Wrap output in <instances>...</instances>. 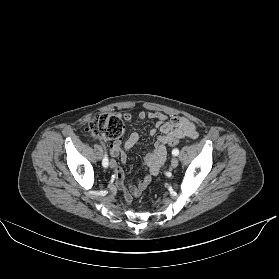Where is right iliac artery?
Returning a JSON list of instances; mask_svg holds the SVG:
<instances>
[{
    "mask_svg": "<svg viewBox=\"0 0 279 279\" xmlns=\"http://www.w3.org/2000/svg\"><path fill=\"white\" fill-rule=\"evenodd\" d=\"M102 165L106 168L108 166V157L107 154H105L103 161H102Z\"/></svg>",
    "mask_w": 279,
    "mask_h": 279,
    "instance_id": "obj_1",
    "label": "right iliac artery"
}]
</instances>
